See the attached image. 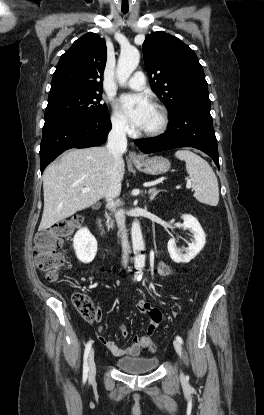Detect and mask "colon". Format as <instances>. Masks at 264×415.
I'll use <instances>...</instances> for the list:
<instances>
[{"mask_svg": "<svg viewBox=\"0 0 264 415\" xmlns=\"http://www.w3.org/2000/svg\"><path fill=\"white\" fill-rule=\"evenodd\" d=\"M81 222V216L74 215L71 219L62 221L53 228L36 234V264L49 281L56 280L61 272L65 270L66 266L60 249ZM72 302L76 310L87 321H98L100 319V311L87 293L75 292L72 295ZM141 340L149 353L156 352L157 345L149 336H143Z\"/></svg>", "mask_w": 264, "mask_h": 415, "instance_id": "colon-1", "label": "colon"}]
</instances>
